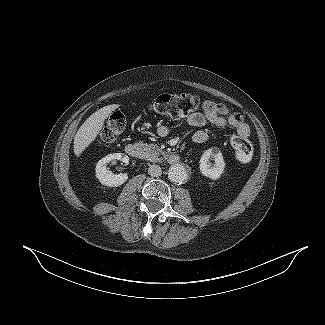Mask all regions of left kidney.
Listing matches in <instances>:
<instances>
[{
  "label": "left kidney",
  "instance_id": "5707ae66",
  "mask_svg": "<svg viewBox=\"0 0 325 325\" xmlns=\"http://www.w3.org/2000/svg\"><path fill=\"white\" fill-rule=\"evenodd\" d=\"M209 159L214 160V164L209 162ZM199 168L202 175L218 180L224 173L225 162L222 153L216 147L205 150L199 161Z\"/></svg>",
  "mask_w": 325,
  "mask_h": 325
}]
</instances>
